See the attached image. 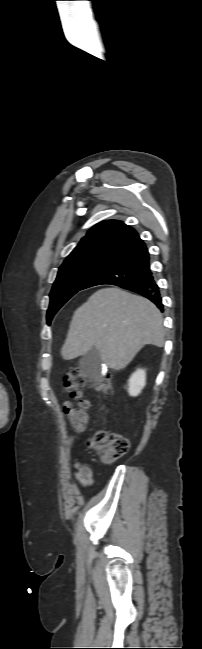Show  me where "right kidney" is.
Returning a JSON list of instances; mask_svg holds the SVG:
<instances>
[{"instance_id": "obj_1", "label": "right kidney", "mask_w": 202, "mask_h": 649, "mask_svg": "<svg viewBox=\"0 0 202 649\" xmlns=\"http://www.w3.org/2000/svg\"><path fill=\"white\" fill-rule=\"evenodd\" d=\"M146 384V373L143 369H137L128 380V392L130 396H137Z\"/></svg>"}]
</instances>
